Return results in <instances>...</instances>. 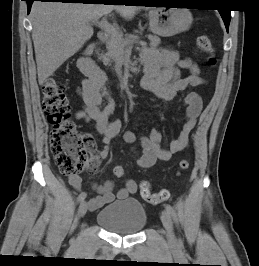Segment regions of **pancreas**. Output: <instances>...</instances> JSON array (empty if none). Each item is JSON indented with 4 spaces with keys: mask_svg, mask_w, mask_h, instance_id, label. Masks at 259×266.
<instances>
[{
    "mask_svg": "<svg viewBox=\"0 0 259 266\" xmlns=\"http://www.w3.org/2000/svg\"><path fill=\"white\" fill-rule=\"evenodd\" d=\"M136 39H138V36L135 35H125L123 37L122 34H119V36L115 37L110 36L106 43L107 52L102 54L100 59L105 65H111L113 61L122 59L125 47ZM148 39L150 40L151 48L158 47L161 42L157 36L149 35Z\"/></svg>",
    "mask_w": 259,
    "mask_h": 266,
    "instance_id": "1",
    "label": "pancreas"
}]
</instances>
